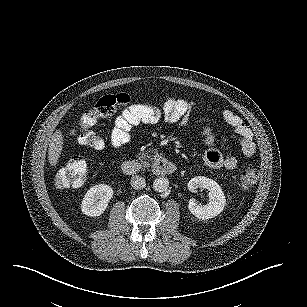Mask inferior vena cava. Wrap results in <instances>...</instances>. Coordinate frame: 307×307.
<instances>
[{
  "mask_svg": "<svg viewBox=\"0 0 307 307\" xmlns=\"http://www.w3.org/2000/svg\"><path fill=\"white\" fill-rule=\"evenodd\" d=\"M131 186L135 190H141L147 186V183H146V180L142 176H134L131 179Z\"/></svg>",
  "mask_w": 307,
  "mask_h": 307,
  "instance_id": "602c4592",
  "label": "inferior vena cava"
}]
</instances>
